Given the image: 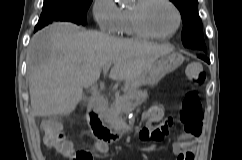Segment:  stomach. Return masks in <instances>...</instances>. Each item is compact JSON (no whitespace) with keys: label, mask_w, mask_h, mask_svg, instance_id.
Here are the masks:
<instances>
[{"label":"stomach","mask_w":242,"mask_h":160,"mask_svg":"<svg viewBox=\"0 0 242 160\" xmlns=\"http://www.w3.org/2000/svg\"><path fill=\"white\" fill-rule=\"evenodd\" d=\"M183 61L184 57L176 52L160 57L137 80L125 82L124 90L129 92L141 86H155L167 73L178 68Z\"/></svg>","instance_id":"0dacf381"}]
</instances>
